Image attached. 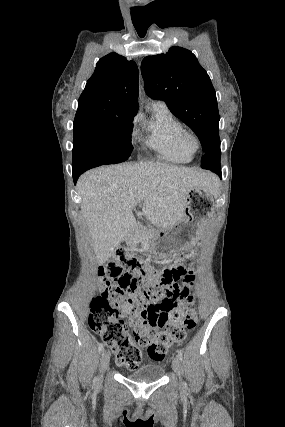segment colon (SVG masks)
I'll list each match as a JSON object with an SVG mask.
<instances>
[{
    "label": "colon",
    "instance_id": "5ec220e1",
    "mask_svg": "<svg viewBox=\"0 0 285 427\" xmlns=\"http://www.w3.org/2000/svg\"><path fill=\"white\" fill-rule=\"evenodd\" d=\"M182 256L177 255L176 262H180ZM110 272L120 288L101 280L100 293L89 304V327L112 348L117 363L128 369L139 365L142 348L152 360H163L168 347L182 342L187 331L196 326L194 300L185 293L180 294L178 289L184 269L172 265L157 271L118 251L110 264ZM103 275L100 269L98 276L103 278ZM186 280H191V276ZM165 293L178 297L170 303V310L164 316L166 323L158 331L147 323L146 311ZM129 327L133 329V337L128 332Z\"/></svg>",
    "mask_w": 285,
    "mask_h": 427
}]
</instances>
